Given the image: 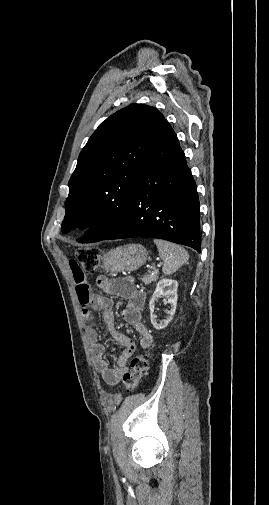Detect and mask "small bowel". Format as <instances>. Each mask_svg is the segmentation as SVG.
Instances as JSON below:
<instances>
[{
    "label": "small bowel",
    "mask_w": 269,
    "mask_h": 505,
    "mask_svg": "<svg viewBox=\"0 0 269 505\" xmlns=\"http://www.w3.org/2000/svg\"><path fill=\"white\" fill-rule=\"evenodd\" d=\"M70 267L76 283L78 300L83 308L82 316L85 323V333L96 370L105 383L115 385L128 370L127 363L135 352L136 345L128 335L115 328L112 300L106 296L91 294L87 281L88 279H97L98 287L105 293L127 300L128 304L122 312V318L139 333L140 346L144 349L149 348L153 343V336L142 321V310L146 301L145 292L135 285L132 277L109 280L104 276L99 277L98 269L94 274H85L77 260H72ZM89 306L102 312L103 320L111 336L122 346L115 367H110L104 359L106 348L98 339L97 331L93 326L94 315L92 310L88 308Z\"/></svg>",
    "instance_id": "small-bowel-1"
}]
</instances>
